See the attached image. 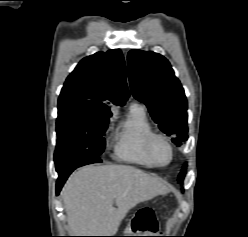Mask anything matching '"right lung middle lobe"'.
I'll return each instance as SVG.
<instances>
[{
  "label": "right lung middle lobe",
  "instance_id": "1",
  "mask_svg": "<svg viewBox=\"0 0 248 237\" xmlns=\"http://www.w3.org/2000/svg\"><path fill=\"white\" fill-rule=\"evenodd\" d=\"M109 116L100 115L73 104H58L56 153L100 155Z\"/></svg>",
  "mask_w": 248,
  "mask_h": 237
}]
</instances>
